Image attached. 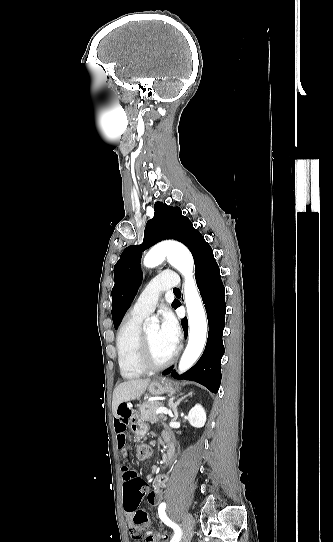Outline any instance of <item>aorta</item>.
<instances>
[{"mask_svg": "<svg viewBox=\"0 0 333 542\" xmlns=\"http://www.w3.org/2000/svg\"><path fill=\"white\" fill-rule=\"evenodd\" d=\"M167 256L169 264L174 266L184 278V298L189 322L188 344L178 366L179 374L187 372L199 360L206 344L207 320L196 282L193 278L194 260L186 246L170 242L159 252L150 250L144 258L146 268H156Z\"/></svg>", "mask_w": 333, "mask_h": 542, "instance_id": "762f6f07", "label": "aorta"}]
</instances>
